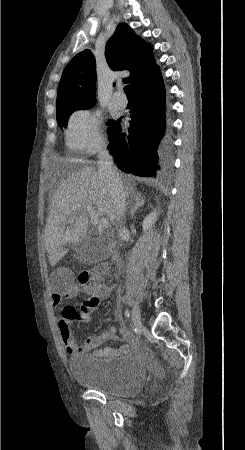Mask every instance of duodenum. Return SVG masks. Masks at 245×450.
Listing matches in <instances>:
<instances>
[{
  "label": "duodenum",
  "mask_w": 245,
  "mask_h": 450,
  "mask_svg": "<svg viewBox=\"0 0 245 450\" xmlns=\"http://www.w3.org/2000/svg\"><path fill=\"white\" fill-rule=\"evenodd\" d=\"M112 259H113L114 261H118V256H117L116 252H114V253L112 254Z\"/></svg>",
  "instance_id": "obj_1"
}]
</instances>
